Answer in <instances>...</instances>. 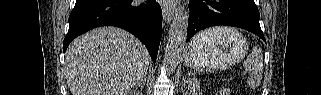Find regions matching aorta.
<instances>
[{"instance_id": "1", "label": "aorta", "mask_w": 321, "mask_h": 95, "mask_svg": "<svg viewBox=\"0 0 321 95\" xmlns=\"http://www.w3.org/2000/svg\"><path fill=\"white\" fill-rule=\"evenodd\" d=\"M188 31V12L180 6L175 10V16L171 24L166 48L165 63L170 68H176L184 49Z\"/></svg>"}]
</instances>
